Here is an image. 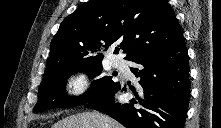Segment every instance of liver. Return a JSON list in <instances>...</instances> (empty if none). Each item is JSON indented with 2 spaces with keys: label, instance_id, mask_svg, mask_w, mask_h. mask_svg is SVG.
Returning a JSON list of instances; mask_svg holds the SVG:
<instances>
[{
  "label": "liver",
  "instance_id": "6515ba94",
  "mask_svg": "<svg viewBox=\"0 0 221 128\" xmlns=\"http://www.w3.org/2000/svg\"><path fill=\"white\" fill-rule=\"evenodd\" d=\"M52 128H123V126L99 112H84L62 119Z\"/></svg>",
  "mask_w": 221,
  "mask_h": 128
}]
</instances>
